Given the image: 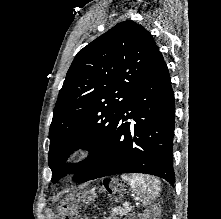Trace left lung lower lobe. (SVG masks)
I'll return each instance as SVG.
<instances>
[{
  "label": "left lung lower lobe",
  "instance_id": "1",
  "mask_svg": "<svg viewBox=\"0 0 221 219\" xmlns=\"http://www.w3.org/2000/svg\"><path fill=\"white\" fill-rule=\"evenodd\" d=\"M174 127V92L158 50L144 80L118 116L96 163L79 182L120 173H145L174 185Z\"/></svg>",
  "mask_w": 221,
  "mask_h": 219
}]
</instances>
